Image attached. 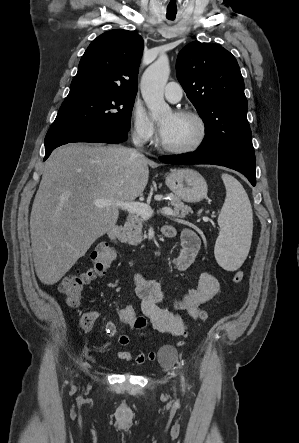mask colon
Returning a JSON list of instances; mask_svg holds the SVG:
<instances>
[{
  "mask_svg": "<svg viewBox=\"0 0 299 443\" xmlns=\"http://www.w3.org/2000/svg\"><path fill=\"white\" fill-rule=\"evenodd\" d=\"M116 258L114 248L108 242L99 243L91 254L92 265L84 270H77L66 275L59 284V292L65 297L66 303L70 307H77L81 301L84 287L97 276L104 274L113 264ZM244 272L236 271L233 282L239 284L244 280ZM206 318V313L201 314V319ZM118 321L120 325L138 331L142 325L139 313L132 306H125L118 311ZM91 324L90 317L85 314L80 319L82 328H88ZM183 336H188V331H183ZM160 358L165 362H170L174 358V351L170 347L161 350Z\"/></svg>",
  "mask_w": 299,
  "mask_h": 443,
  "instance_id": "5ec220e1",
  "label": "colon"
}]
</instances>
